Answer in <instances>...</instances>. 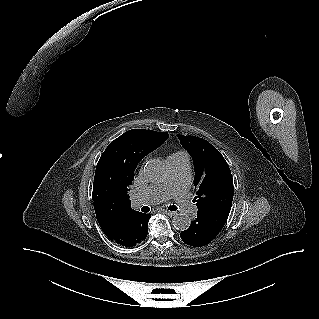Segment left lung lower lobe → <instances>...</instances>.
Here are the masks:
<instances>
[{
	"label": "left lung lower lobe",
	"mask_w": 319,
	"mask_h": 319,
	"mask_svg": "<svg viewBox=\"0 0 319 319\" xmlns=\"http://www.w3.org/2000/svg\"><path fill=\"white\" fill-rule=\"evenodd\" d=\"M229 212L227 210L198 211L197 218L191 221L190 227L181 232V239L194 247L210 243L222 230Z\"/></svg>",
	"instance_id": "1"
}]
</instances>
